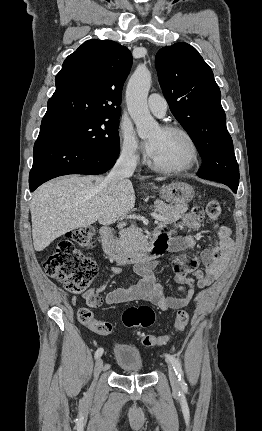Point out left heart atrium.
I'll use <instances>...</instances> for the list:
<instances>
[{
	"mask_svg": "<svg viewBox=\"0 0 262 431\" xmlns=\"http://www.w3.org/2000/svg\"><path fill=\"white\" fill-rule=\"evenodd\" d=\"M156 141L154 139H150L146 142V149L149 155H152L155 150Z\"/></svg>",
	"mask_w": 262,
	"mask_h": 431,
	"instance_id": "obj_1",
	"label": "left heart atrium"
}]
</instances>
